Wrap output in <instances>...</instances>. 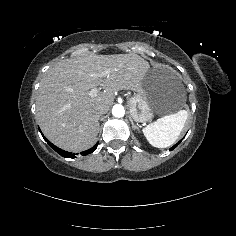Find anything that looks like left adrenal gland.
Returning <instances> with one entry per match:
<instances>
[{"instance_id": "obj_1", "label": "left adrenal gland", "mask_w": 236, "mask_h": 236, "mask_svg": "<svg viewBox=\"0 0 236 236\" xmlns=\"http://www.w3.org/2000/svg\"><path fill=\"white\" fill-rule=\"evenodd\" d=\"M130 121H131V124H132V129L133 130L138 129V127L134 124L133 120L130 119Z\"/></svg>"}]
</instances>
